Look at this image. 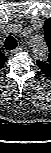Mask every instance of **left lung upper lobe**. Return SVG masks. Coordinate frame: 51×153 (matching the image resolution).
Masks as SVG:
<instances>
[{"label":"left lung upper lobe","mask_w":51,"mask_h":153,"mask_svg":"<svg viewBox=\"0 0 51 153\" xmlns=\"http://www.w3.org/2000/svg\"><path fill=\"white\" fill-rule=\"evenodd\" d=\"M44 32L49 49L48 59L44 61L37 60V65L45 76L51 78V18L45 21Z\"/></svg>","instance_id":"obj_1"}]
</instances>
